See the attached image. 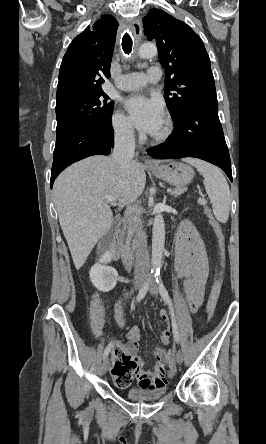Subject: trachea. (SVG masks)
Instances as JSON below:
<instances>
[{
  "label": "trachea",
  "instance_id": "3493384b",
  "mask_svg": "<svg viewBox=\"0 0 266 444\" xmlns=\"http://www.w3.org/2000/svg\"><path fill=\"white\" fill-rule=\"evenodd\" d=\"M133 41L132 38L128 33H125V35L122 38V49L125 54H130L132 51Z\"/></svg>",
  "mask_w": 266,
  "mask_h": 444
}]
</instances>
